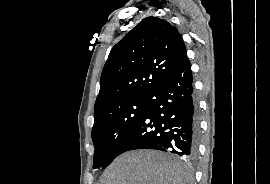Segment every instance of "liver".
Returning <instances> with one entry per match:
<instances>
[{
	"label": "liver",
	"instance_id": "6515ba94",
	"mask_svg": "<svg viewBox=\"0 0 270 184\" xmlns=\"http://www.w3.org/2000/svg\"><path fill=\"white\" fill-rule=\"evenodd\" d=\"M188 167L159 152L138 150L117 157L100 184H189Z\"/></svg>",
	"mask_w": 270,
	"mask_h": 184
}]
</instances>
